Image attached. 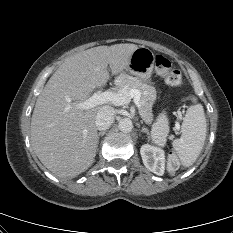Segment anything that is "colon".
Instances as JSON below:
<instances>
[{"label":"colon","instance_id":"1","mask_svg":"<svg viewBox=\"0 0 233 233\" xmlns=\"http://www.w3.org/2000/svg\"><path fill=\"white\" fill-rule=\"evenodd\" d=\"M154 65L156 72L162 76L165 82L170 86H180L182 83V75L177 69H172L170 61L162 56H154ZM169 123L166 113H162L152 131V141L155 145L163 147L166 143ZM180 167V162L175 153L170 152L167 157L166 169L169 173H175Z\"/></svg>","mask_w":233,"mask_h":233}]
</instances>
